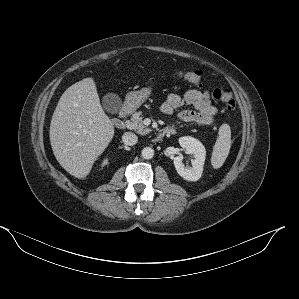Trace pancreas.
<instances>
[{"label": "pancreas", "instance_id": "pancreas-1", "mask_svg": "<svg viewBox=\"0 0 299 299\" xmlns=\"http://www.w3.org/2000/svg\"><path fill=\"white\" fill-rule=\"evenodd\" d=\"M127 127L128 129L134 130L141 135L148 134L151 131V129L146 128L143 124V117L141 111L135 112L132 115L131 119L127 121Z\"/></svg>", "mask_w": 299, "mask_h": 299}]
</instances>
